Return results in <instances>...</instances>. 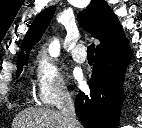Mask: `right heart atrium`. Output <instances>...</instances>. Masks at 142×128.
Returning a JSON list of instances; mask_svg holds the SVG:
<instances>
[{
    "mask_svg": "<svg viewBox=\"0 0 142 128\" xmlns=\"http://www.w3.org/2000/svg\"><path fill=\"white\" fill-rule=\"evenodd\" d=\"M34 90L37 99L45 105H53L70 97L61 70L46 55H39L36 59Z\"/></svg>",
    "mask_w": 142,
    "mask_h": 128,
    "instance_id": "d8ad5b80",
    "label": "right heart atrium"
}]
</instances>
